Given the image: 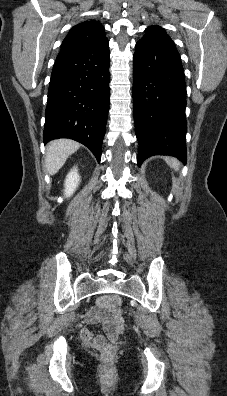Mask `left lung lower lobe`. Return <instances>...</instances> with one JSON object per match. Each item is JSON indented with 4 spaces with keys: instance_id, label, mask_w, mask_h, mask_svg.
<instances>
[{
    "instance_id": "1",
    "label": "left lung lower lobe",
    "mask_w": 227,
    "mask_h": 396,
    "mask_svg": "<svg viewBox=\"0 0 227 396\" xmlns=\"http://www.w3.org/2000/svg\"><path fill=\"white\" fill-rule=\"evenodd\" d=\"M133 107L138 166L153 155L186 162V85L172 41L142 38L133 56Z\"/></svg>"
}]
</instances>
